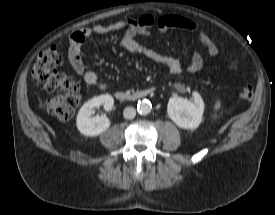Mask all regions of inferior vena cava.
Returning <instances> with one entry per match:
<instances>
[{"label":"inferior vena cava","mask_w":275,"mask_h":215,"mask_svg":"<svg viewBox=\"0 0 275 215\" xmlns=\"http://www.w3.org/2000/svg\"><path fill=\"white\" fill-rule=\"evenodd\" d=\"M123 116L126 119H133L136 116V110L133 107H126L123 111Z\"/></svg>","instance_id":"obj_1"}]
</instances>
